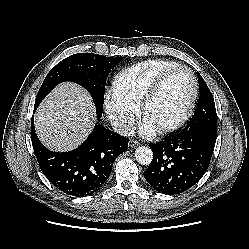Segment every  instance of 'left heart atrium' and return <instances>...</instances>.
Returning <instances> with one entry per match:
<instances>
[{
	"label": "left heart atrium",
	"instance_id": "39dd6f15",
	"mask_svg": "<svg viewBox=\"0 0 249 249\" xmlns=\"http://www.w3.org/2000/svg\"><path fill=\"white\" fill-rule=\"evenodd\" d=\"M156 131H157V128L145 120L142 122L140 126V133L142 135L149 136V135L154 134Z\"/></svg>",
	"mask_w": 249,
	"mask_h": 249
}]
</instances>
